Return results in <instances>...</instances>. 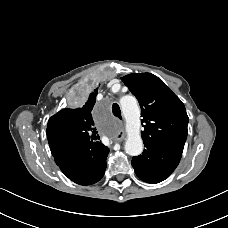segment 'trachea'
<instances>
[{"instance_id": "3493384b", "label": "trachea", "mask_w": 228, "mask_h": 228, "mask_svg": "<svg viewBox=\"0 0 228 228\" xmlns=\"http://www.w3.org/2000/svg\"><path fill=\"white\" fill-rule=\"evenodd\" d=\"M112 112H113L114 116L118 117L119 119H122L121 110H120V107L117 103L113 104Z\"/></svg>"}]
</instances>
